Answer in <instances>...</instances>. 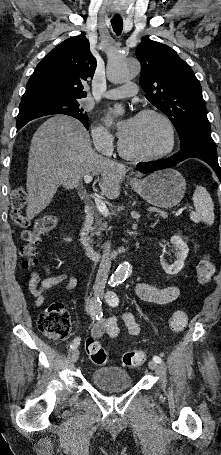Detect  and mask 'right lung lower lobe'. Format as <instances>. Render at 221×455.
Instances as JSON below:
<instances>
[{
	"label": "right lung lower lobe",
	"instance_id": "right-lung-lower-lobe-1",
	"mask_svg": "<svg viewBox=\"0 0 221 455\" xmlns=\"http://www.w3.org/2000/svg\"><path fill=\"white\" fill-rule=\"evenodd\" d=\"M26 123L22 124L21 126H17V130H20Z\"/></svg>",
	"mask_w": 221,
	"mask_h": 455
}]
</instances>
